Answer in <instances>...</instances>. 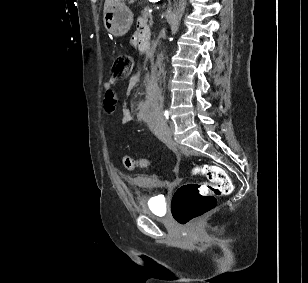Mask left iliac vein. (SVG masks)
<instances>
[{
  "label": "left iliac vein",
  "instance_id": "left-iliac-vein-1",
  "mask_svg": "<svg viewBox=\"0 0 308 283\" xmlns=\"http://www.w3.org/2000/svg\"><path fill=\"white\" fill-rule=\"evenodd\" d=\"M175 130V125L171 121L168 125L165 126L163 135L167 140H172V136Z\"/></svg>",
  "mask_w": 308,
  "mask_h": 283
}]
</instances>
